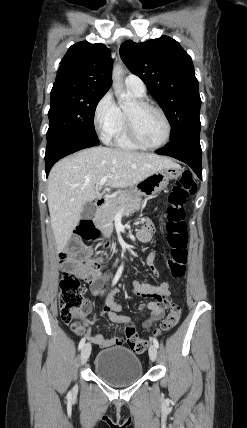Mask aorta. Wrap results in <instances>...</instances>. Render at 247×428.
I'll return each mask as SVG.
<instances>
[{"mask_svg":"<svg viewBox=\"0 0 247 428\" xmlns=\"http://www.w3.org/2000/svg\"><path fill=\"white\" fill-rule=\"evenodd\" d=\"M122 69L120 66H116L113 69V75H112V79L113 81L116 83V85L118 87H122ZM117 98L119 99L120 102H122L123 104H127V102L130 101V97L123 91L117 90L116 92Z\"/></svg>","mask_w":247,"mask_h":428,"instance_id":"762f6f07","label":"aorta"}]
</instances>
